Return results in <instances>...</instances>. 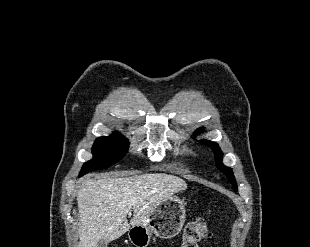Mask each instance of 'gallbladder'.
Wrapping results in <instances>:
<instances>
[{"mask_svg":"<svg viewBox=\"0 0 310 247\" xmlns=\"http://www.w3.org/2000/svg\"><path fill=\"white\" fill-rule=\"evenodd\" d=\"M107 245H108V242L106 240H101L98 243L97 247H107Z\"/></svg>","mask_w":310,"mask_h":247,"instance_id":"bac80fb5","label":"gallbladder"}]
</instances>
